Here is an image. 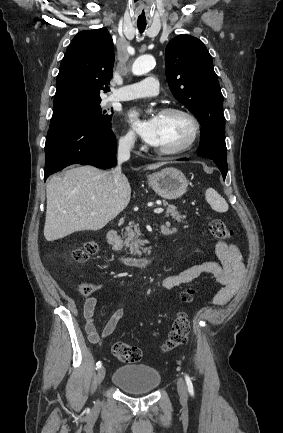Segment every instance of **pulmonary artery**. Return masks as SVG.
Instances as JSON below:
<instances>
[{
	"instance_id": "obj_1",
	"label": "pulmonary artery",
	"mask_w": 283,
	"mask_h": 433,
	"mask_svg": "<svg viewBox=\"0 0 283 433\" xmlns=\"http://www.w3.org/2000/svg\"><path fill=\"white\" fill-rule=\"evenodd\" d=\"M158 80L147 77L136 83H125L123 88L109 96L111 101H127L141 97H150L158 94Z\"/></svg>"
}]
</instances>
